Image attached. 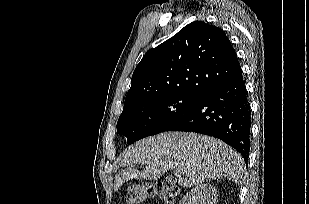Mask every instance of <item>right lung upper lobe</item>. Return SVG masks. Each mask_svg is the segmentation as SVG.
I'll use <instances>...</instances> for the list:
<instances>
[{
    "label": "right lung upper lobe",
    "instance_id": "right-lung-upper-lobe-1",
    "mask_svg": "<svg viewBox=\"0 0 309 204\" xmlns=\"http://www.w3.org/2000/svg\"><path fill=\"white\" fill-rule=\"evenodd\" d=\"M240 69L224 31L195 21L144 55L132 75L124 105L166 94L200 96Z\"/></svg>",
    "mask_w": 309,
    "mask_h": 204
}]
</instances>
